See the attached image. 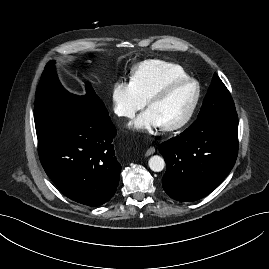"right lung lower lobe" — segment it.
I'll list each match as a JSON object with an SVG mask.
<instances>
[{
    "instance_id": "obj_1",
    "label": "right lung lower lobe",
    "mask_w": 269,
    "mask_h": 269,
    "mask_svg": "<svg viewBox=\"0 0 269 269\" xmlns=\"http://www.w3.org/2000/svg\"><path fill=\"white\" fill-rule=\"evenodd\" d=\"M115 135L110 117L101 120L85 114L71 126L38 139L41 164L69 199L99 206L112 198L119 183L121 166L112 144Z\"/></svg>"
}]
</instances>
